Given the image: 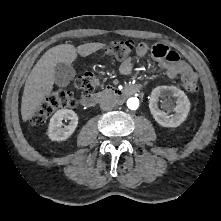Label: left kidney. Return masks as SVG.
<instances>
[{
  "mask_svg": "<svg viewBox=\"0 0 221 221\" xmlns=\"http://www.w3.org/2000/svg\"><path fill=\"white\" fill-rule=\"evenodd\" d=\"M166 95H171L176 99V106L173 105L170 98L163 101V106L168 110L174 111V115L169 116L158 107L159 98ZM149 108L153 118L159 125L163 127H178L188 116L190 101L186 94L175 86H159L151 93Z\"/></svg>",
  "mask_w": 221,
  "mask_h": 221,
  "instance_id": "1",
  "label": "left kidney"
}]
</instances>
